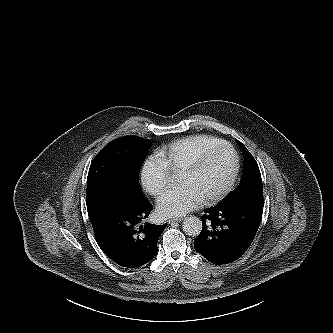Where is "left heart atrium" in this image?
I'll use <instances>...</instances> for the list:
<instances>
[{
  "label": "left heart atrium",
  "instance_id": "39dd6f15",
  "mask_svg": "<svg viewBox=\"0 0 333 333\" xmlns=\"http://www.w3.org/2000/svg\"><path fill=\"white\" fill-rule=\"evenodd\" d=\"M202 201L203 197L192 186L181 184L164 192L158 199L157 208L162 216H182Z\"/></svg>",
  "mask_w": 333,
  "mask_h": 333
}]
</instances>
